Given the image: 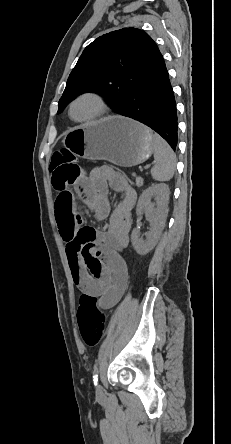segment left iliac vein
Segmentation results:
<instances>
[{
  "mask_svg": "<svg viewBox=\"0 0 231 444\" xmlns=\"http://www.w3.org/2000/svg\"><path fill=\"white\" fill-rule=\"evenodd\" d=\"M102 388H101V386L100 385H98L97 387H96V394H97V396H101L102 395Z\"/></svg>",
  "mask_w": 231,
  "mask_h": 444,
  "instance_id": "obj_1",
  "label": "left iliac vein"
}]
</instances>
